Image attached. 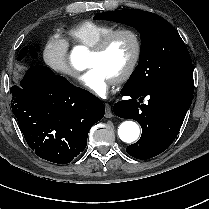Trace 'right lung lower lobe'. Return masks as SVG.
I'll list each match as a JSON object with an SVG mask.
<instances>
[{"instance_id":"right-lung-lower-lobe-1","label":"right lung lower lobe","mask_w":209,"mask_h":209,"mask_svg":"<svg viewBox=\"0 0 209 209\" xmlns=\"http://www.w3.org/2000/svg\"><path fill=\"white\" fill-rule=\"evenodd\" d=\"M11 94L12 112L29 147L57 164L71 162L86 148L90 128L105 113L99 98L41 65L31 67Z\"/></svg>"}]
</instances>
